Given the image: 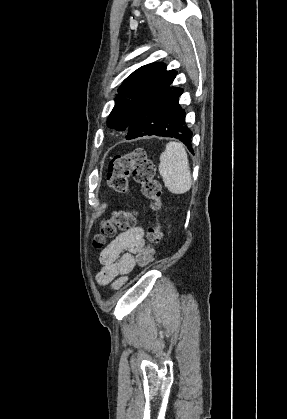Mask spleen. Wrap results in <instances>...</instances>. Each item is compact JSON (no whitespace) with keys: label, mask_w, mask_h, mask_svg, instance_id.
<instances>
[{"label":"spleen","mask_w":287,"mask_h":419,"mask_svg":"<svg viewBox=\"0 0 287 419\" xmlns=\"http://www.w3.org/2000/svg\"><path fill=\"white\" fill-rule=\"evenodd\" d=\"M159 173L168 190L173 194H184L190 190L192 178L184 146L169 142L160 155Z\"/></svg>","instance_id":"obj_1"}]
</instances>
